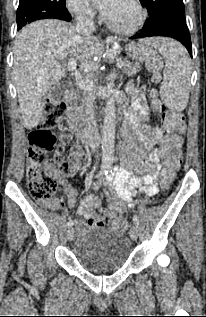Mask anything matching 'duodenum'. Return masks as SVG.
<instances>
[{
	"label": "duodenum",
	"mask_w": 206,
	"mask_h": 317,
	"mask_svg": "<svg viewBox=\"0 0 206 317\" xmlns=\"http://www.w3.org/2000/svg\"><path fill=\"white\" fill-rule=\"evenodd\" d=\"M65 106L68 108L67 118L74 136L82 142L90 143L94 136L91 125L81 120L77 110L71 107L72 103L70 101H67Z\"/></svg>",
	"instance_id": "1"
}]
</instances>
